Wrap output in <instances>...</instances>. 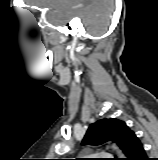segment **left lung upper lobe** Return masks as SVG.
<instances>
[{
  "instance_id": "left-lung-upper-lobe-1",
  "label": "left lung upper lobe",
  "mask_w": 158,
  "mask_h": 160,
  "mask_svg": "<svg viewBox=\"0 0 158 160\" xmlns=\"http://www.w3.org/2000/svg\"><path fill=\"white\" fill-rule=\"evenodd\" d=\"M132 133L133 131L121 120L101 119L89 126L82 144L100 145L106 141H113L124 151Z\"/></svg>"
}]
</instances>
